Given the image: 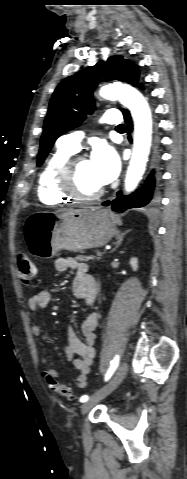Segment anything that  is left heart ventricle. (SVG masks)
I'll return each instance as SVG.
<instances>
[{"instance_id": "left-heart-ventricle-1", "label": "left heart ventricle", "mask_w": 187, "mask_h": 479, "mask_svg": "<svg viewBox=\"0 0 187 479\" xmlns=\"http://www.w3.org/2000/svg\"><path fill=\"white\" fill-rule=\"evenodd\" d=\"M77 185L84 194H92L102 187L96 180L90 160L82 158L77 168Z\"/></svg>"}]
</instances>
